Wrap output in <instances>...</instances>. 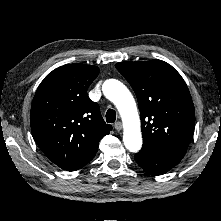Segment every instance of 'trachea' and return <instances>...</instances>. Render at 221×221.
<instances>
[{
	"label": "trachea",
	"instance_id": "trachea-1",
	"mask_svg": "<svg viewBox=\"0 0 221 221\" xmlns=\"http://www.w3.org/2000/svg\"><path fill=\"white\" fill-rule=\"evenodd\" d=\"M116 120V112L113 109H108L106 112V121L108 123H113Z\"/></svg>",
	"mask_w": 221,
	"mask_h": 221
}]
</instances>
